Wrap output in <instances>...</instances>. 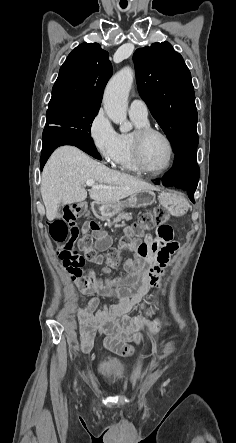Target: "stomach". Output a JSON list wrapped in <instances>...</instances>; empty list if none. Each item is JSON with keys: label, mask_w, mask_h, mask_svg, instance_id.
Segmentation results:
<instances>
[{"label": "stomach", "mask_w": 236, "mask_h": 443, "mask_svg": "<svg viewBox=\"0 0 236 443\" xmlns=\"http://www.w3.org/2000/svg\"><path fill=\"white\" fill-rule=\"evenodd\" d=\"M156 195L152 190H142L131 195L125 201H118L113 204H99L97 210L104 218H109L124 208H140L152 205L155 202ZM161 204L173 215H182L188 207L187 200L179 194L173 192H164L160 196Z\"/></svg>", "instance_id": "stomach-1"}]
</instances>
